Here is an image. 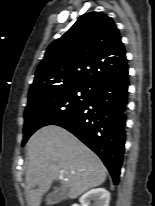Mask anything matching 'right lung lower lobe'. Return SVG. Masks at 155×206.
Instances as JSON below:
<instances>
[{"label": "right lung lower lobe", "instance_id": "obj_1", "mask_svg": "<svg viewBox=\"0 0 155 206\" xmlns=\"http://www.w3.org/2000/svg\"><path fill=\"white\" fill-rule=\"evenodd\" d=\"M128 86L127 68L95 89L87 104L53 124L67 129L92 149L109 170L115 185L124 154Z\"/></svg>", "mask_w": 155, "mask_h": 206}]
</instances>
